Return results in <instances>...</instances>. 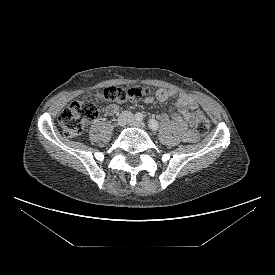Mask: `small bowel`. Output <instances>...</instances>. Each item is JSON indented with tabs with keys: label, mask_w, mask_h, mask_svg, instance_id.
Masks as SVG:
<instances>
[{
	"label": "small bowel",
	"mask_w": 275,
	"mask_h": 275,
	"mask_svg": "<svg viewBox=\"0 0 275 275\" xmlns=\"http://www.w3.org/2000/svg\"><path fill=\"white\" fill-rule=\"evenodd\" d=\"M178 97L172 106L171 117L181 130V137L185 142H195L197 135L193 132L191 127L194 125V116L192 110L197 108L195 100L187 94H178L173 90L158 89L154 92L152 97L147 98V102L157 100L159 102H166L174 97ZM120 107L116 103H111L106 108L108 115H115L118 113ZM167 116H162L163 120H167Z\"/></svg>",
	"instance_id": "obj_1"
}]
</instances>
